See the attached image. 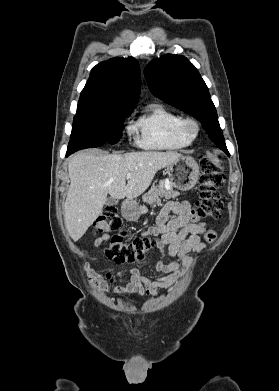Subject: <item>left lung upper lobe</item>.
I'll use <instances>...</instances> for the list:
<instances>
[{"label": "left lung upper lobe", "instance_id": "obj_1", "mask_svg": "<svg viewBox=\"0 0 279 391\" xmlns=\"http://www.w3.org/2000/svg\"><path fill=\"white\" fill-rule=\"evenodd\" d=\"M144 74L153 95L199 120L210 140L228 152L208 88L193 64L166 54L147 65Z\"/></svg>", "mask_w": 279, "mask_h": 391}]
</instances>
